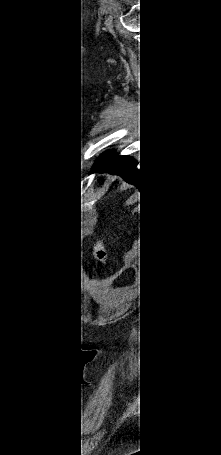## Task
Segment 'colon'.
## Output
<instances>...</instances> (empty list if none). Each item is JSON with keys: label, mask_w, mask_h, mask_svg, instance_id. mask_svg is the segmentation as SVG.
Returning <instances> with one entry per match:
<instances>
[{"label": "colon", "mask_w": 221, "mask_h": 455, "mask_svg": "<svg viewBox=\"0 0 221 455\" xmlns=\"http://www.w3.org/2000/svg\"><path fill=\"white\" fill-rule=\"evenodd\" d=\"M92 255L93 258L97 261L104 262L106 260V250L102 241H96L92 250Z\"/></svg>", "instance_id": "obj_1"}]
</instances>
